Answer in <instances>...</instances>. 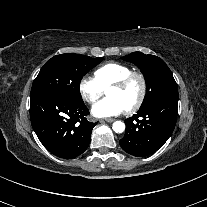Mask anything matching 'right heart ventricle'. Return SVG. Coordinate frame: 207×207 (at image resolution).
I'll return each instance as SVG.
<instances>
[{"mask_svg": "<svg viewBox=\"0 0 207 207\" xmlns=\"http://www.w3.org/2000/svg\"><path fill=\"white\" fill-rule=\"evenodd\" d=\"M131 72L130 67L118 62H109L94 71V78L103 88H108L114 82L122 79Z\"/></svg>", "mask_w": 207, "mask_h": 207, "instance_id": "right-heart-ventricle-1", "label": "right heart ventricle"}]
</instances>
